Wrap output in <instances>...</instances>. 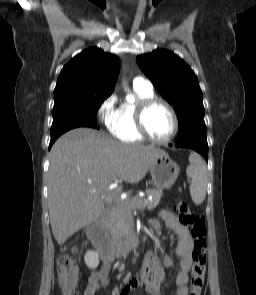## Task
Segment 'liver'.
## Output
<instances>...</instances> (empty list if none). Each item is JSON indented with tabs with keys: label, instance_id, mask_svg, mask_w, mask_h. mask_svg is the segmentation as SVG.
I'll list each match as a JSON object with an SVG mask.
<instances>
[{
	"label": "liver",
	"instance_id": "6515ba94",
	"mask_svg": "<svg viewBox=\"0 0 256 295\" xmlns=\"http://www.w3.org/2000/svg\"><path fill=\"white\" fill-rule=\"evenodd\" d=\"M164 153L88 128L62 135L51 148L48 172L50 224L57 243L98 220L104 210L102 195L113 181L138 183Z\"/></svg>",
	"mask_w": 256,
	"mask_h": 295
}]
</instances>
